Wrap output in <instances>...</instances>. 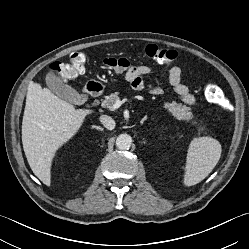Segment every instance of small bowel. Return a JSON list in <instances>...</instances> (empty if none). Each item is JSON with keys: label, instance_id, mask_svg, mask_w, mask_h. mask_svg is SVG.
<instances>
[{"label": "small bowel", "instance_id": "1", "mask_svg": "<svg viewBox=\"0 0 249 249\" xmlns=\"http://www.w3.org/2000/svg\"><path fill=\"white\" fill-rule=\"evenodd\" d=\"M127 63V66L118 72L125 73L127 81L131 84L132 88L136 91H142L146 88L143 77L149 74L150 69L145 65H131L130 62L121 58ZM169 83L173 87L174 91L180 97L181 101L187 105H193L196 101L195 95L190 91L189 87L182 83V70L174 66L169 71ZM163 92L162 88L155 87L151 90V93L159 95Z\"/></svg>", "mask_w": 249, "mask_h": 249}]
</instances>
